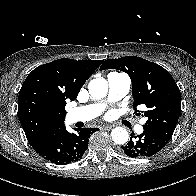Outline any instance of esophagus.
<instances>
[{"instance_id":"obj_1","label":"esophagus","mask_w":196,"mask_h":196,"mask_svg":"<svg viewBox=\"0 0 196 196\" xmlns=\"http://www.w3.org/2000/svg\"><path fill=\"white\" fill-rule=\"evenodd\" d=\"M114 126L113 125H104L102 126L103 129H106V130H110L112 129Z\"/></svg>"}]
</instances>
